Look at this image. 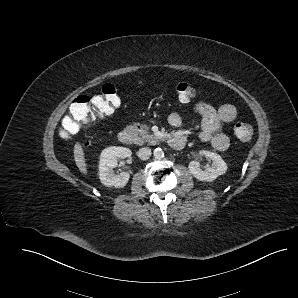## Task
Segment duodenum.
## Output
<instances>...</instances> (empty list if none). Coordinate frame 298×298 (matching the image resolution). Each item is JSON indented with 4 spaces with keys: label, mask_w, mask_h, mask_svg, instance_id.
I'll list each match as a JSON object with an SVG mask.
<instances>
[{
    "label": "duodenum",
    "mask_w": 298,
    "mask_h": 298,
    "mask_svg": "<svg viewBox=\"0 0 298 298\" xmlns=\"http://www.w3.org/2000/svg\"><path fill=\"white\" fill-rule=\"evenodd\" d=\"M118 140L126 145L133 142V134L129 129H123L118 133ZM186 137L181 134H173L168 138V144L175 150L182 149L186 144Z\"/></svg>",
    "instance_id": "1"
}]
</instances>
